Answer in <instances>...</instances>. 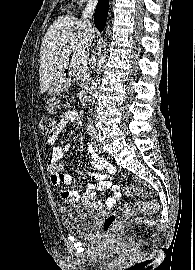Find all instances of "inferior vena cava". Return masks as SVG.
Masks as SVG:
<instances>
[{"mask_svg":"<svg viewBox=\"0 0 195 270\" xmlns=\"http://www.w3.org/2000/svg\"><path fill=\"white\" fill-rule=\"evenodd\" d=\"M96 4H97V0H88L87 6L85 7V9L82 12V20H83L84 24H86L88 26H91L90 19L93 16ZM94 90H96V84H95ZM94 96L95 95L93 94V99L91 101L92 104L95 103Z\"/></svg>","mask_w":195,"mask_h":270,"instance_id":"1","label":"inferior vena cava"}]
</instances>
